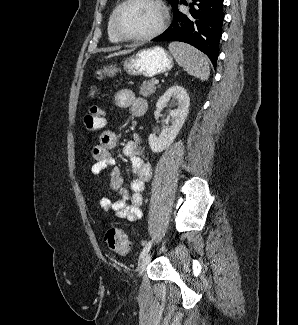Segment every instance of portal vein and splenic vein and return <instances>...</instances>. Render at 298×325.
<instances>
[{
	"mask_svg": "<svg viewBox=\"0 0 298 325\" xmlns=\"http://www.w3.org/2000/svg\"><path fill=\"white\" fill-rule=\"evenodd\" d=\"M155 84H158L159 80H154Z\"/></svg>",
	"mask_w": 298,
	"mask_h": 325,
	"instance_id": "portal-vein-and-splenic-vein-1",
	"label": "portal vein and splenic vein"
}]
</instances>
